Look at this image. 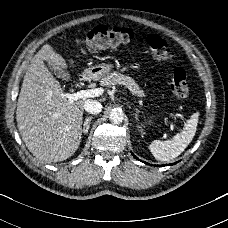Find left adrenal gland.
<instances>
[{"label":"left adrenal gland","mask_w":228,"mask_h":228,"mask_svg":"<svg viewBox=\"0 0 228 228\" xmlns=\"http://www.w3.org/2000/svg\"><path fill=\"white\" fill-rule=\"evenodd\" d=\"M135 119L138 120V115L137 114H135Z\"/></svg>","instance_id":"a2214340"}]
</instances>
